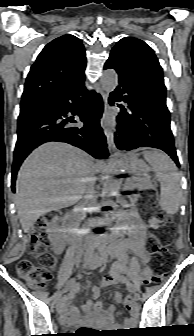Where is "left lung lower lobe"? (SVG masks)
Returning a JSON list of instances; mask_svg holds the SVG:
<instances>
[{"label": "left lung lower lobe", "instance_id": "1", "mask_svg": "<svg viewBox=\"0 0 194 336\" xmlns=\"http://www.w3.org/2000/svg\"><path fill=\"white\" fill-rule=\"evenodd\" d=\"M104 68L115 69L119 76V84L110 94V105L122 100L128 103V110L122 108V112L117 116V147L128 151L140 147L161 149L179 165L166 103L148 95L119 67L114 57H109Z\"/></svg>", "mask_w": 194, "mask_h": 336}]
</instances>
